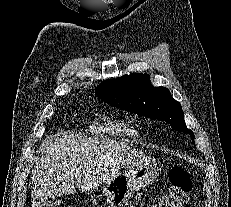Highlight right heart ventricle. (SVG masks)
I'll return each mask as SVG.
<instances>
[{"mask_svg":"<svg viewBox=\"0 0 231 207\" xmlns=\"http://www.w3.org/2000/svg\"><path fill=\"white\" fill-rule=\"evenodd\" d=\"M92 131L102 137L126 140L137 135V131L122 117L111 113L100 114Z\"/></svg>","mask_w":231,"mask_h":207,"instance_id":"e07e8e85","label":"right heart ventricle"}]
</instances>
